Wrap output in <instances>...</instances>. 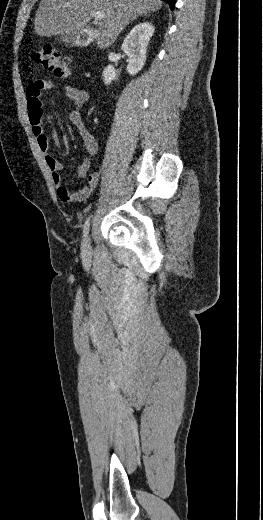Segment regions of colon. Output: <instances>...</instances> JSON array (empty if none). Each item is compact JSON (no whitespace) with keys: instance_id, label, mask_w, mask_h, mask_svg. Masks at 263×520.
Listing matches in <instances>:
<instances>
[{"instance_id":"1","label":"colon","mask_w":263,"mask_h":520,"mask_svg":"<svg viewBox=\"0 0 263 520\" xmlns=\"http://www.w3.org/2000/svg\"><path fill=\"white\" fill-rule=\"evenodd\" d=\"M31 58L34 63L44 70L54 73L57 77L66 78L71 74L69 59L49 45L35 50Z\"/></svg>"}]
</instances>
